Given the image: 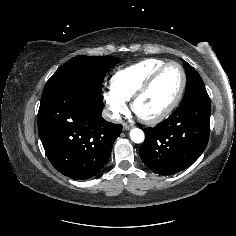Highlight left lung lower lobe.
Masks as SVG:
<instances>
[{
    "mask_svg": "<svg viewBox=\"0 0 236 236\" xmlns=\"http://www.w3.org/2000/svg\"><path fill=\"white\" fill-rule=\"evenodd\" d=\"M142 161L160 175H172L194 163L205 150L210 131L208 94L188 99L154 128H145Z\"/></svg>",
    "mask_w": 236,
    "mask_h": 236,
    "instance_id": "0a47b994",
    "label": "left lung lower lobe"
}]
</instances>
